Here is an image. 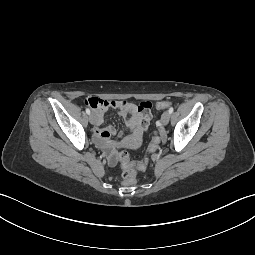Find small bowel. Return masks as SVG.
Listing matches in <instances>:
<instances>
[{
  "label": "small bowel",
  "instance_id": "small-bowel-1",
  "mask_svg": "<svg viewBox=\"0 0 255 255\" xmlns=\"http://www.w3.org/2000/svg\"><path fill=\"white\" fill-rule=\"evenodd\" d=\"M87 104L93 109L96 119L94 128L96 142L105 151L109 165L114 166L117 163L116 146L136 147L140 143L141 136L147 129L151 118V104L148 102L135 104L121 100L110 101L97 97L89 98ZM109 108H115L119 111L131 131L130 136L116 143L110 140V137L115 134V129L111 126L101 127L104 115Z\"/></svg>",
  "mask_w": 255,
  "mask_h": 255
}]
</instances>
